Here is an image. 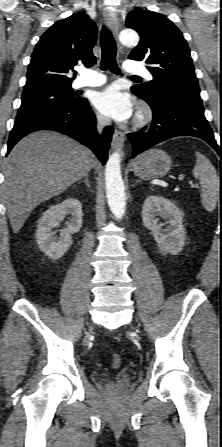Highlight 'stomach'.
<instances>
[{"label":"stomach","mask_w":222,"mask_h":447,"mask_svg":"<svg viewBox=\"0 0 222 447\" xmlns=\"http://www.w3.org/2000/svg\"><path fill=\"white\" fill-rule=\"evenodd\" d=\"M170 156L159 149H152L140 155L133 164V172L142 179L160 178L171 169Z\"/></svg>","instance_id":"stomach-1"}]
</instances>
